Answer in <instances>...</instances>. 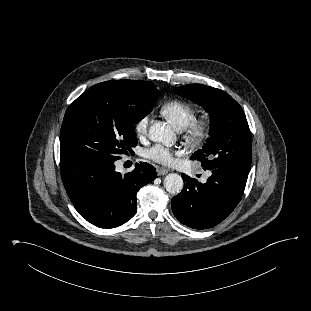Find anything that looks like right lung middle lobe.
<instances>
[{"mask_svg":"<svg viewBox=\"0 0 311 311\" xmlns=\"http://www.w3.org/2000/svg\"><path fill=\"white\" fill-rule=\"evenodd\" d=\"M155 86L140 89L120 80L94 85L67 109L60 133V159L116 161L137 145L134 124L155 106Z\"/></svg>","mask_w":311,"mask_h":311,"instance_id":"1","label":"right lung middle lobe"}]
</instances>
